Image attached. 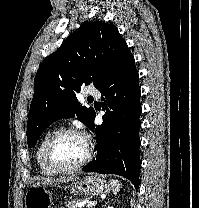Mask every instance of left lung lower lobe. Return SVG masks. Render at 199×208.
<instances>
[{"label": "left lung lower lobe", "mask_w": 199, "mask_h": 208, "mask_svg": "<svg viewBox=\"0 0 199 208\" xmlns=\"http://www.w3.org/2000/svg\"><path fill=\"white\" fill-rule=\"evenodd\" d=\"M133 56L102 84V106L105 110L102 125L95 126L94 113L90 129L96 133V160L82 168L84 172L118 174L139 188L140 175V87Z\"/></svg>", "instance_id": "left-lung-lower-lobe-1"}]
</instances>
